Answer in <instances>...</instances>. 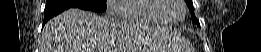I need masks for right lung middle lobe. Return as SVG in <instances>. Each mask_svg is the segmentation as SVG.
Returning <instances> with one entry per match:
<instances>
[{
	"label": "right lung middle lobe",
	"instance_id": "right-lung-middle-lobe-1",
	"mask_svg": "<svg viewBox=\"0 0 261 52\" xmlns=\"http://www.w3.org/2000/svg\"><path fill=\"white\" fill-rule=\"evenodd\" d=\"M47 3H64L84 7L97 12H104L106 10V0H47Z\"/></svg>",
	"mask_w": 261,
	"mask_h": 52
}]
</instances>
